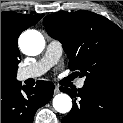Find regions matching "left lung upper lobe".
I'll return each instance as SVG.
<instances>
[{
    "label": "left lung upper lobe",
    "mask_w": 123,
    "mask_h": 123,
    "mask_svg": "<svg viewBox=\"0 0 123 123\" xmlns=\"http://www.w3.org/2000/svg\"><path fill=\"white\" fill-rule=\"evenodd\" d=\"M43 24L85 84L123 88V31L116 24L89 11L50 14Z\"/></svg>",
    "instance_id": "1"
}]
</instances>
